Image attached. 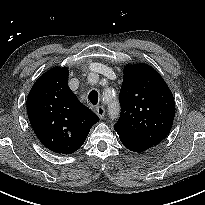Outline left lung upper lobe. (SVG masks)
<instances>
[{"instance_id":"1","label":"left lung upper lobe","mask_w":205,"mask_h":205,"mask_svg":"<svg viewBox=\"0 0 205 205\" xmlns=\"http://www.w3.org/2000/svg\"><path fill=\"white\" fill-rule=\"evenodd\" d=\"M119 100L121 116L114 129L152 145L168 135L175 102L169 87L151 66L140 63L125 67Z\"/></svg>"}]
</instances>
